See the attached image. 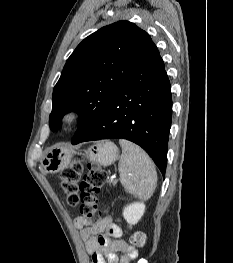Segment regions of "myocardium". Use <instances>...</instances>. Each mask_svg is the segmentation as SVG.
Returning a JSON list of instances; mask_svg holds the SVG:
<instances>
[{
    "label": "myocardium",
    "instance_id": "myocardium-1",
    "mask_svg": "<svg viewBox=\"0 0 233 263\" xmlns=\"http://www.w3.org/2000/svg\"><path fill=\"white\" fill-rule=\"evenodd\" d=\"M80 120V114L76 110H69L61 117V122L66 127H72Z\"/></svg>",
    "mask_w": 233,
    "mask_h": 263
}]
</instances>
